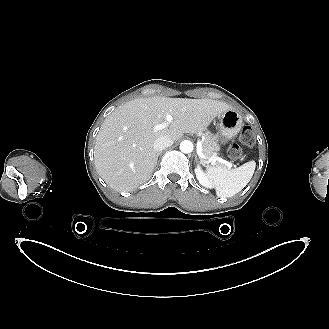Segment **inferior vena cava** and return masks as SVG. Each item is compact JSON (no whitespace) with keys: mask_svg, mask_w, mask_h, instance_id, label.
<instances>
[{"mask_svg":"<svg viewBox=\"0 0 329 329\" xmlns=\"http://www.w3.org/2000/svg\"><path fill=\"white\" fill-rule=\"evenodd\" d=\"M173 144V140L167 136H161L157 138L154 142L155 151H162L163 149L171 146Z\"/></svg>","mask_w":329,"mask_h":329,"instance_id":"1","label":"inferior vena cava"}]
</instances>
